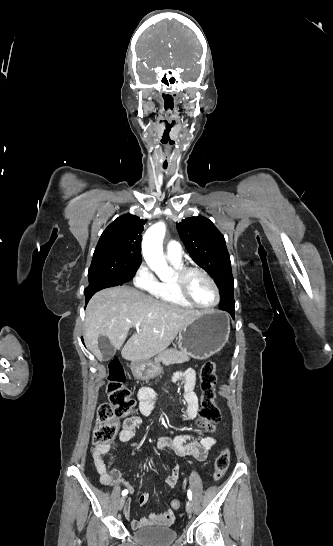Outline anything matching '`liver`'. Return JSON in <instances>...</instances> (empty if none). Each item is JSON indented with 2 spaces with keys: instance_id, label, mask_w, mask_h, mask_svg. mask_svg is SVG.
I'll return each instance as SVG.
<instances>
[{
  "instance_id": "1",
  "label": "liver",
  "mask_w": 333,
  "mask_h": 546,
  "mask_svg": "<svg viewBox=\"0 0 333 546\" xmlns=\"http://www.w3.org/2000/svg\"><path fill=\"white\" fill-rule=\"evenodd\" d=\"M202 312L182 309L153 299L129 286L103 289L90 299L85 318L84 340L87 348L101 361L100 336H106L115 349L121 348L130 328L140 322L139 330L121 351L129 361H147L164 351L178 332Z\"/></svg>"
}]
</instances>
